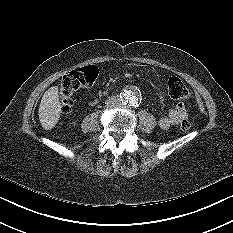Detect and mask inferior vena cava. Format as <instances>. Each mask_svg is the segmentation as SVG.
<instances>
[{"mask_svg":"<svg viewBox=\"0 0 233 233\" xmlns=\"http://www.w3.org/2000/svg\"><path fill=\"white\" fill-rule=\"evenodd\" d=\"M105 104H106L108 107H120V106L122 105L119 96H111V97H109V98L106 100Z\"/></svg>","mask_w":233,"mask_h":233,"instance_id":"1","label":"inferior vena cava"}]
</instances>
